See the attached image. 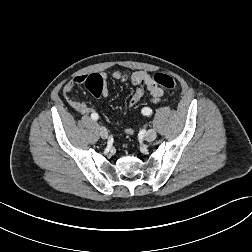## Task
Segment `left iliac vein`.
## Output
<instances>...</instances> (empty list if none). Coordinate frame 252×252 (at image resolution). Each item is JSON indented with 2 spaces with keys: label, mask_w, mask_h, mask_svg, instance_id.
<instances>
[{
  "label": "left iliac vein",
  "mask_w": 252,
  "mask_h": 252,
  "mask_svg": "<svg viewBox=\"0 0 252 252\" xmlns=\"http://www.w3.org/2000/svg\"><path fill=\"white\" fill-rule=\"evenodd\" d=\"M156 137H157V133H156V131H155L154 129L148 130V131L146 132V134H145V140H146L147 142H152V141H154V140L156 139Z\"/></svg>",
  "instance_id": "4c4485c4"
}]
</instances>
